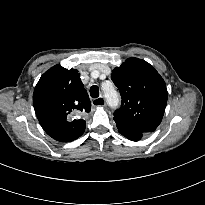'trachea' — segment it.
<instances>
[{
    "instance_id": "3493384b",
    "label": "trachea",
    "mask_w": 205,
    "mask_h": 205,
    "mask_svg": "<svg viewBox=\"0 0 205 205\" xmlns=\"http://www.w3.org/2000/svg\"><path fill=\"white\" fill-rule=\"evenodd\" d=\"M90 96L92 98H97L99 96V88L98 86L94 85L90 88Z\"/></svg>"
}]
</instances>
